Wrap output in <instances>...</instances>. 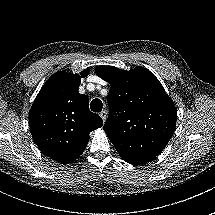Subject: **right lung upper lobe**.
<instances>
[{"instance_id": "1", "label": "right lung upper lobe", "mask_w": 215, "mask_h": 215, "mask_svg": "<svg viewBox=\"0 0 215 215\" xmlns=\"http://www.w3.org/2000/svg\"><path fill=\"white\" fill-rule=\"evenodd\" d=\"M79 74L54 73L38 93L29 112L30 132L41 152L58 162L71 163L86 148L89 133L103 125L99 115L90 112L89 99L80 94Z\"/></svg>"}]
</instances>
